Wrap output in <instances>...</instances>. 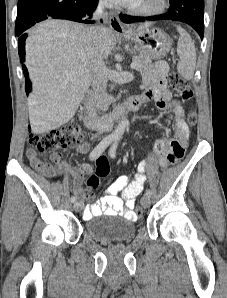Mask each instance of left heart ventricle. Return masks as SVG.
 Wrapping results in <instances>:
<instances>
[{
    "label": "left heart ventricle",
    "instance_id": "left-heart-ventricle-1",
    "mask_svg": "<svg viewBox=\"0 0 227 298\" xmlns=\"http://www.w3.org/2000/svg\"><path fill=\"white\" fill-rule=\"evenodd\" d=\"M156 1L157 0H137L133 6L141 8H150L156 4Z\"/></svg>",
    "mask_w": 227,
    "mask_h": 298
}]
</instances>
